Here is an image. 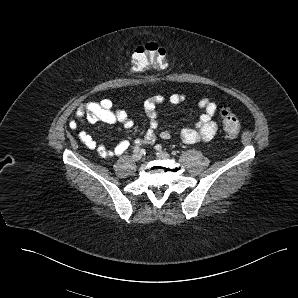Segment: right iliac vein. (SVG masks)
<instances>
[{
  "label": "right iliac vein",
  "mask_w": 298,
  "mask_h": 298,
  "mask_svg": "<svg viewBox=\"0 0 298 298\" xmlns=\"http://www.w3.org/2000/svg\"><path fill=\"white\" fill-rule=\"evenodd\" d=\"M141 158H142V154H141V153L135 152V153L132 155V159H133V161H135V162L140 161Z\"/></svg>",
  "instance_id": "63e3f726"
}]
</instances>
